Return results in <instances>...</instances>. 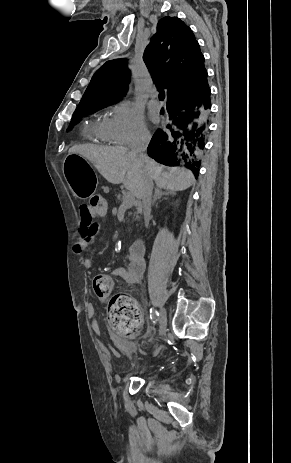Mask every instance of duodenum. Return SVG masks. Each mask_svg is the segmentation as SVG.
<instances>
[{
	"mask_svg": "<svg viewBox=\"0 0 291 463\" xmlns=\"http://www.w3.org/2000/svg\"><path fill=\"white\" fill-rule=\"evenodd\" d=\"M145 246L142 239H136L130 248V253L134 256H142L144 254Z\"/></svg>",
	"mask_w": 291,
	"mask_h": 463,
	"instance_id": "obj_1",
	"label": "duodenum"
}]
</instances>
